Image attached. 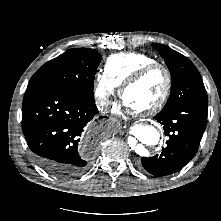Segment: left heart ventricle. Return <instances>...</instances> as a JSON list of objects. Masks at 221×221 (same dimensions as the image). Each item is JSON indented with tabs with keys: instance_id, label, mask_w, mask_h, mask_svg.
Segmentation results:
<instances>
[{
	"instance_id": "left-heart-ventricle-1",
	"label": "left heart ventricle",
	"mask_w": 221,
	"mask_h": 221,
	"mask_svg": "<svg viewBox=\"0 0 221 221\" xmlns=\"http://www.w3.org/2000/svg\"><path fill=\"white\" fill-rule=\"evenodd\" d=\"M165 89V76L156 70L138 83L129 87L124 99L134 109H144L155 103Z\"/></svg>"
}]
</instances>
